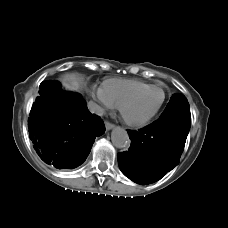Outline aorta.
I'll use <instances>...</instances> for the list:
<instances>
[{"instance_id":"obj_1","label":"aorta","mask_w":228,"mask_h":228,"mask_svg":"<svg viewBox=\"0 0 228 228\" xmlns=\"http://www.w3.org/2000/svg\"><path fill=\"white\" fill-rule=\"evenodd\" d=\"M111 140L116 148H127L130 144V139L127 131L121 127H116L111 133Z\"/></svg>"}]
</instances>
